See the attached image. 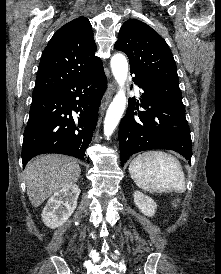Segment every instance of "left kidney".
Returning <instances> with one entry per match:
<instances>
[{
	"mask_svg": "<svg viewBox=\"0 0 221 274\" xmlns=\"http://www.w3.org/2000/svg\"><path fill=\"white\" fill-rule=\"evenodd\" d=\"M133 196L135 205L144 215L152 217L155 214L157 205L152 198L140 191H135Z\"/></svg>",
	"mask_w": 221,
	"mask_h": 274,
	"instance_id": "5707ae66",
	"label": "left kidney"
}]
</instances>
